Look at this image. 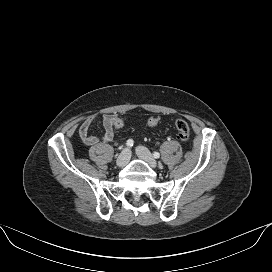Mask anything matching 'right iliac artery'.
I'll return each instance as SVG.
<instances>
[{
    "label": "right iliac artery",
    "instance_id": "obj_1",
    "mask_svg": "<svg viewBox=\"0 0 272 272\" xmlns=\"http://www.w3.org/2000/svg\"><path fill=\"white\" fill-rule=\"evenodd\" d=\"M133 144H134V141H133L132 139L127 140L126 145H127L129 148H131V147L133 146Z\"/></svg>",
    "mask_w": 272,
    "mask_h": 272
}]
</instances>
